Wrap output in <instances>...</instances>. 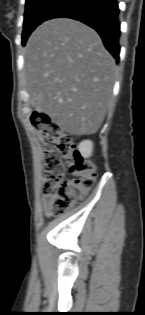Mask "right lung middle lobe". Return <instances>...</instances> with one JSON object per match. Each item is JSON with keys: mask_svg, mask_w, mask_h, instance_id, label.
<instances>
[{"mask_svg": "<svg viewBox=\"0 0 145 315\" xmlns=\"http://www.w3.org/2000/svg\"><path fill=\"white\" fill-rule=\"evenodd\" d=\"M65 0H26L22 44L25 45L31 32L64 2Z\"/></svg>", "mask_w": 145, "mask_h": 315, "instance_id": "obj_1", "label": "right lung middle lobe"}]
</instances>
